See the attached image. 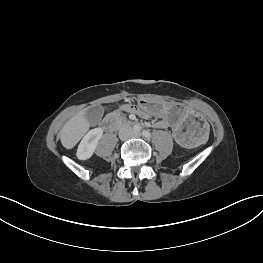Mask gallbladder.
I'll return each mask as SVG.
<instances>
[{
    "label": "gallbladder",
    "instance_id": "obj_1",
    "mask_svg": "<svg viewBox=\"0 0 263 263\" xmlns=\"http://www.w3.org/2000/svg\"><path fill=\"white\" fill-rule=\"evenodd\" d=\"M103 116V108L99 105L93 106L86 111V118L91 125H97Z\"/></svg>",
    "mask_w": 263,
    "mask_h": 263
}]
</instances>
